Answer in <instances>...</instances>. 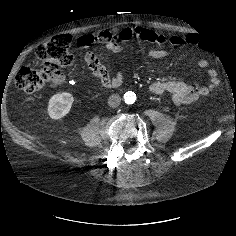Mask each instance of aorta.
<instances>
[{
    "mask_svg": "<svg viewBox=\"0 0 236 236\" xmlns=\"http://www.w3.org/2000/svg\"><path fill=\"white\" fill-rule=\"evenodd\" d=\"M124 101L127 104H133L136 101V94L132 91H128L124 94Z\"/></svg>",
    "mask_w": 236,
    "mask_h": 236,
    "instance_id": "obj_1",
    "label": "aorta"
}]
</instances>
